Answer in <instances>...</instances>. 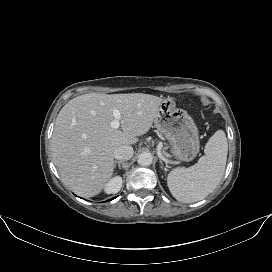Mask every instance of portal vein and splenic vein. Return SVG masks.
Here are the masks:
<instances>
[{
  "mask_svg": "<svg viewBox=\"0 0 272 272\" xmlns=\"http://www.w3.org/2000/svg\"><path fill=\"white\" fill-rule=\"evenodd\" d=\"M114 119L111 121V127L114 129H118L120 126L121 113L118 110L113 111Z\"/></svg>",
  "mask_w": 272,
  "mask_h": 272,
  "instance_id": "18ae733b",
  "label": "portal vein and splenic vein"
}]
</instances>
